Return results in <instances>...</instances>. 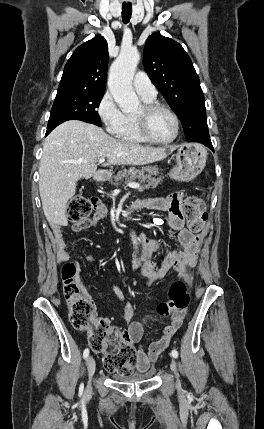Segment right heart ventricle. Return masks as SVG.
<instances>
[{"instance_id":"right-heart-ventricle-1","label":"right heart ventricle","mask_w":264,"mask_h":429,"mask_svg":"<svg viewBox=\"0 0 264 429\" xmlns=\"http://www.w3.org/2000/svg\"><path fill=\"white\" fill-rule=\"evenodd\" d=\"M144 102H152V100L144 99ZM121 141L127 143H144L145 140L141 137L134 116H127L126 124L121 133L117 136Z\"/></svg>"}]
</instances>
